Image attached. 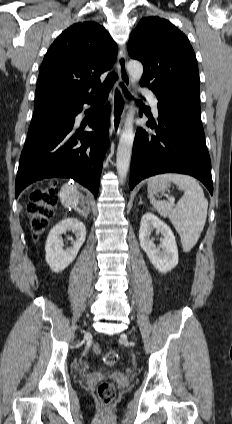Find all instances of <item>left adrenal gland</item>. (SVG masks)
I'll use <instances>...</instances> for the list:
<instances>
[{
  "label": "left adrenal gland",
  "mask_w": 232,
  "mask_h": 424,
  "mask_svg": "<svg viewBox=\"0 0 232 424\" xmlns=\"http://www.w3.org/2000/svg\"><path fill=\"white\" fill-rule=\"evenodd\" d=\"M143 204L142 199L140 198L139 205Z\"/></svg>",
  "instance_id": "1"
}]
</instances>
